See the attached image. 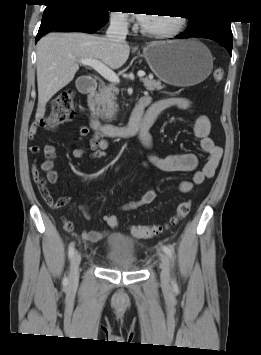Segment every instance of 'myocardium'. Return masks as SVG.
<instances>
[{
  "label": "myocardium",
  "instance_id": "myocardium-1",
  "mask_svg": "<svg viewBox=\"0 0 261 355\" xmlns=\"http://www.w3.org/2000/svg\"><path fill=\"white\" fill-rule=\"evenodd\" d=\"M176 17V25L174 28L165 31H154V30H147L143 26H141L140 31L145 36L157 39H169L177 36L184 28L186 19L184 16H175Z\"/></svg>",
  "mask_w": 261,
  "mask_h": 355
}]
</instances>
